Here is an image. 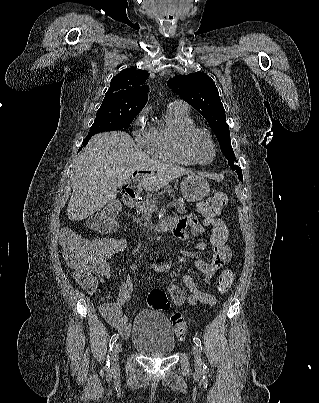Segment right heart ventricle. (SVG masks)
<instances>
[{"label":"right heart ventricle","instance_id":"right-heart-ventricle-1","mask_svg":"<svg viewBox=\"0 0 319 403\" xmlns=\"http://www.w3.org/2000/svg\"><path fill=\"white\" fill-rule=\"evenodd\" d=\"M193 125L195 122L187 108L169 105L164 121L153 127V142L149 151L155 158L163 161L192 164L180 151L179 136L185 128Z\"/></svg>","mask_w":319,"mask_h":403}]
</instances>
